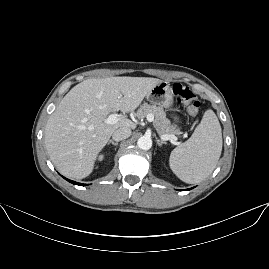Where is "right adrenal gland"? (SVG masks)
<instances>
[{
    "mask_svg": "<svg viewBox=\"0 0 269 269\" xmlns=\"http://www.w3.org/2000/svg\"><path fill=\"white\" fill-rule=\"evenodd\" d=\"M111 144H112L113 146H118V145H119V143H115V142L112 141V140L108 141L106 145H107V146H110Z\"/></svg>",
    "mask_w": 269,
    "mask_h": 269,
    "instance_id": "right-adrenal-gland-1",
    "label": "right adrenal gland"
}]
</instances>
